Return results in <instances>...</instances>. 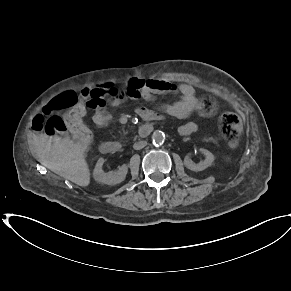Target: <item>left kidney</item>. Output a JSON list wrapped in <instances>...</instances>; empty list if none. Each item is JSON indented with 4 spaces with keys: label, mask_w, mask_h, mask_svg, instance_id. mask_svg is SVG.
I'll list each match as a JSON object with an SVG mask.
<instances>
[{
    "label": "left kidney",
    "mask_w": 291,
    "mask_h": 291,
    "mask_svg": "<svg viewBox=\"0 0 291 291\" xmlns=\"http://www.w3.org/2000/svg\"><path fill=\"white\" fill-rule=\"evenodd\" d=\"M200 151L205 155V160L204 161H200L198 164L194 163L189 156H186L184 159V165L191 171H203L205 170L207 167L211 166L213 161H214V155L206 150V149H200Z\"/></svg>",
    "instance_id": "left-kidney-1"
}]
</instances>
